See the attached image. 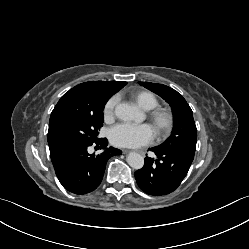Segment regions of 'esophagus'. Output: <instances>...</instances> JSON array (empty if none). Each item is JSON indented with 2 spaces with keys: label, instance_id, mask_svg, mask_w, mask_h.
<instances>
[{
  "label": "esophagus",
  "instance_id": "34e87169",
  "mask_svg": "<svg viewBox=\"0 0 249 249\" xmlns=\"http://www.w3.org/2000/svg\"><path fill=\"white\" fill-rule=\"evenodd\" d=\"M123 152H127V150H123ZM139 153H142V152H139ZM143 154V153H142Z\"/></svg>",
  "mask_w": 249,
  "mask_h": 249
}]
</instances>
